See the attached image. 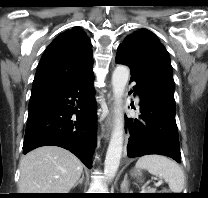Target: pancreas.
<instances>
[{
  "label": "pancreas",
  "instance_id": "obj_1",
  "mask_svg": "<svg viewBox=\"0 0 208 198\" xmlns=\"http://www.w3.org/2000/svg\"><path fill=\"white\" fill-rule=\"evenodd\" d=\"M155 190H156V189H149L147 192H148V193H155Z\"/></svg>",
  "mask_w": 208,
  "mask_h": 198
}]
</instances>
